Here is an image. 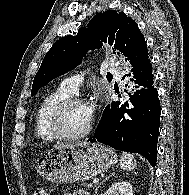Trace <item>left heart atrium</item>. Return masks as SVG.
Segmentation results:
<instances>
[{"instance_id": "left-heart-atrium-1", "label": "left heart atrium", "mask_w": 189, "mask_h": 195, "mask_svg": "<svg viewBox=\"0 0 189 195\" xmlns=\"http://www.w3.org/2000/svg\"><path fill=\"white\" fill-rule=\"evenodd\" d=\"M94 109H95V105L93 103L88 104V110L91 116L94 112Z\"/></svg>"}]
</instances>
